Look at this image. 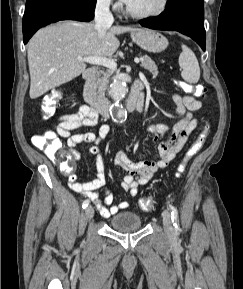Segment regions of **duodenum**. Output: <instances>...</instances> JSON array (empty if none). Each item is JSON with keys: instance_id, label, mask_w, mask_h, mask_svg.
I'll return each mask as SVG.
<instances>
[{"instance_id": "410a0bca", "label": "duodenum", "mask_w": 243, "mask_h": 289, "mask_svg": "<svg viewBox=\"0 0 243 289\" xmlns=\"http://www.w3.org/2000/svg\"><path fill=\"white\" fill-rule=\"evenodd\" d=\"M97 75L96 68H88L83 73V99L101 117L109 118L114 114V105L106 100L99 98L93 90V80ZM144 106V95L140 87H134L123 103L127 111L139 110Z\"/></svg>"}]
</instances>
